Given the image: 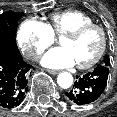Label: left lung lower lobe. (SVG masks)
<instances>
[{
  "mask_svg": "<svg viewBox=\"0 0 117 117\" xmlns=\"http://www.w3.org/2000/svg\"><path fill=\"white\" fill-rule=\"evenodd\" d=\"M110 67L98 65L92 72L76 77L72 89L65 93L67 99L78 105L96 101L104 92L109 78Z\"/></svg>",
  "mask_w": 117,
  "mask_h": 117,
  "instance_id": "1",
  "label": "left lung lower lobe"
}]
</instances>
